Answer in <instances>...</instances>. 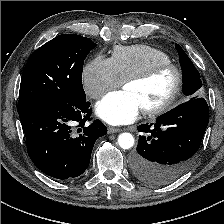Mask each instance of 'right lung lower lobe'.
<instances>
[{"instance_id":"98d812e1","label":"right lung lower lobe","mask_w":224,"mask_h":224,"mask_svg":"<svg viewBox=\"0 0 224 224\" xmlns=\"http://www.w3.org/2000/svg\"><path fill=\"white\" fill-rule=\"evenodd\" d=\"M89 107L86 100L73 104L48 101L19 113L28 155L43 173L67 180L87 169L96 139L107 133L100 121L85 124L91 116Z\"/></svg>"}]
</instances>
